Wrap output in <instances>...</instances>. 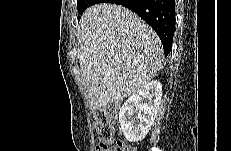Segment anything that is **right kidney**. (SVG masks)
Returning <instances> with one entry per match:
<instances>
[{
	"instance_id": "right-kidney-1",
	"label": "right kidney",
	"mask_w": 231,
	"mask_h": 151,
	"mask_svg": "<svg viewBox=\"0 0 231 151\" xmlns=\"http://www.w3.org/2000/svg\"><path fill=\"white\" fill-rule=\"evenodd\" d=\"M161 97L162 84L152 80L126 100L119 112L126 140L138 142L145 138L157 115Z\"/></svg>"
}]
</instances>
